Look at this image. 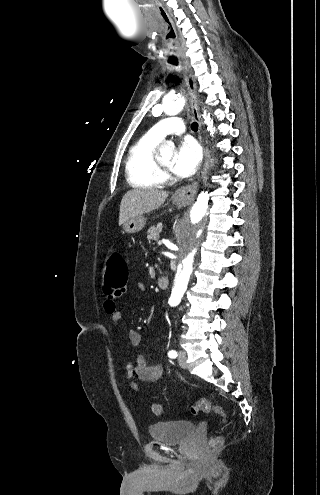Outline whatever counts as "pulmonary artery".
I'll list each match as a JSON object with an SVG mask.
<instances>
[{"mask_svg":"<svg viewBox=\"0 0 320 495\" xmlns=\"http://www.w3.org/2000/svg\"><path fill=\"white\" fill-rule=\"evenodd\" d=\"M185 131L184 121L179 117H168L159 121L150 130L149 133L162 140L169 134H182Z\"/></svg>","mask_w":320,"mask_h":495,"instance_id":"pulmonary-artery-1","label":"pulmonary artery"}]
</instances>
